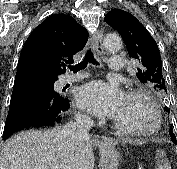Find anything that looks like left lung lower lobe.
Wrapping results in <instances>:
<instances>
[{"label": "left lung lower lobe", "instance_id": "0a47b994", "mask_svg": "<svg viewBox=\"0 0 177 169\" xmlns=\"http://www.w3.org/2000/svg\"><path fill=\"white\" fill-rule=\"evenodd\" d=\"M171 140L174 144H177L176 138L172 137Z\"/></svg>", "mask_w": 177, "mask_h": 169}]
</instances>
